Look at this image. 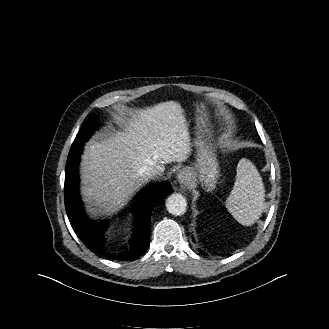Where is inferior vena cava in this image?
I'll list each match as a JSON object with an SVG mask.
<instances>
[{"instance_id":"602c4592","label":"inferior vena cava","mask_w":329,"mask_h":329,"mask_svg":"<svg viewBox=\"0 0 329 329\" xmlns=\"http://www.w3.org/2000/svg\"><path fill=\"white\" fill-rule=\"evenodd\" d=\"M163 168L160 165H151V166H145L140 170L141 176L148 180L153 179L157 175H160L163 172Z\"/></svg>"}]
</instances>
